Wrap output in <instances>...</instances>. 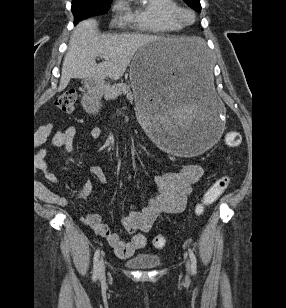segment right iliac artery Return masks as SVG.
<instances>
[{
	"mask_svg": "<svg viewBox=\"0 0 286 308\" xmlns=\"http://www.w3.org/2000/svg\"><path fill=\"white\" fill-rule=\"evenodd\" d=\"M99 256H100V249H97L95 254H94V263H93V276L92 279L96 280L97 276H98V269H99Z\"/></svg>",
	"mask_w": 286,
	"mask_h": 308,
	"instance_id": "right-iliac-artery-1",
	"label": "right iliac artery"
}]
</instances>
